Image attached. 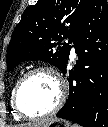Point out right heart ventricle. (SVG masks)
Returning a JSON list of instances; mask_svg holds the SVG:
<instances>
[{
  "label": "right heart ventricle",
  "instance_id": "right-heart-ventricle-1",
  "mask_svg": "<svg viewBox=\"0 0 108 127\" xmlns=\"http://www.w3.org/2000/svg\"><path fill=\"white\" fill-rule=\"evenodd\" d=\"M16 84H17V82L14 84V86H13V88H12V91H11V105H12V107H13V104H12V97H13V92H14V89H15ZM14 114H15L16 117H19V115L16 113V111H15Z\"/></svg>",
  "mask_w": 108,
  "mask_h": 127
}]
</instances>
